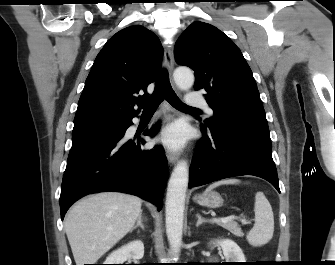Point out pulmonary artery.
<instances>
[{
  "label": "pulmonary artery",
  "instance_id": "obj_1",
  "mask_svg": "<svg viewBox=\"0 0 335 265\" xmlns=\"http://www.w3.org/2000/svg\"><path fill=\"white\" fill-rule=\"evenodd\" d=\"M186 104L192 108H203L209 114H212V109L207 105L205 99L198 92H190L186 98Z\"/></svg>",
  "mask_w": 335,
  "mask_h": 265
}]
</instances>
